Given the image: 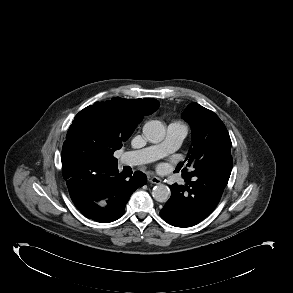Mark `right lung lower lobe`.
Masks as SVG:
<instances>
[{"instance_id":"right-lung-lower-lobe-1","label":"right lung lower lobe","mask_w":293,"mask_h":293,"mask_svg":"<svg viewBox=\"0 0 293 293\" xmlns=\"http://www.w3.org/2000/svg\"><path fill=\"white\" fill-rule=\"evenodd\" d=\"M147 182L146 176L119 173L117 165L93 164L67 183L72 201L80 212L94 221L119 219L131 194Z\"/></svg>"}]
</instances>
